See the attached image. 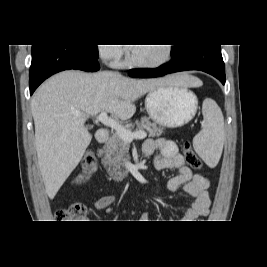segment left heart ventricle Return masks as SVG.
Here are the masks:
<instances>
[{"instance_id": "b2bd125f", "label": "left heart ventricle", "mask_w": 267, "mask_h": 267, "mask_svg": "<svg viewBox=\"0 0 267 267\" xmlns=\"http://www.w3.org/2000/svg\"><path fill=\"white\" fill-rule=\"evenodd\" d=\"M133 56L139 62H154L165 55V47L162 44L153 46H136L132 49Z\"/></svg>"}]
</instances>
